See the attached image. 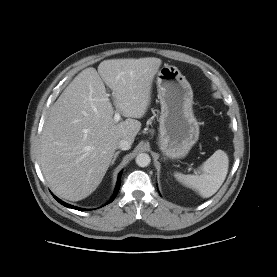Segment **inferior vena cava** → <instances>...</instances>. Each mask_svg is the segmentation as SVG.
Masks as SVG:
<instances>
[{"mask_svg":"<svg viewBox=\"0 0 277 277\" xmlns=\"http://www.w3.org/2000/svg\"><path fill=\"white\" fill-rule=\"evenodd\" d=\"M117 148L121 150H128L131 148V143L128 140L122 139L117 143Z\"/></svg>","mask_w":277,"mask_h":277,"instance_id":"602c4592","label":"inferior vena cava"}]
</instances>
